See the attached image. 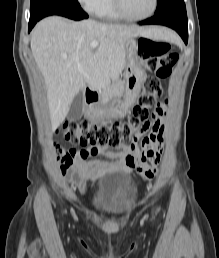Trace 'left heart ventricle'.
<instances>
[{
	"label": "left heart ventricle",
	"mask_w": 219,
	"mask_h": 258,
	"mask_svg": "<svg viewBox=\"0 0 219 258\" xmlns=\"http://www.w3.org/2000/svg\"><path fill=\"white\" fill-rule=\"evenodd\" d=\"M126 12L132 16H142L149 13L154 0H122Z\"/></svg>",
	"instance_id": "b2bd125f"
}]
</instances>
